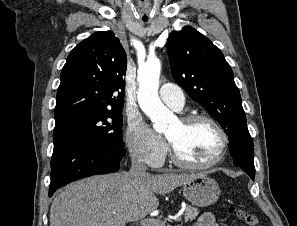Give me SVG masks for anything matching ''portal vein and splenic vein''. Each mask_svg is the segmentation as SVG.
I'll use <instances>...</instances> for the list:
<instances>
[{
  "mask_svg": "<svg viewBox=\"0 0 297 226\" xmlns=\"http://www.w3.org/2000/svg\"><path fill=\"white\" fill-rule=\"evenodd\" d=\"M169 219L172 221H176V222L181 221V217L179 215L170 216ZM156 222H158L157 219H144L140 223L142 226H151L152 224H155Z\"/></svg>",
  "mask_w": 297,
  "mask_h": 226,
  "instance_id": "1",
  "label": "portal vein and splenic vein"
}]
</instances>
